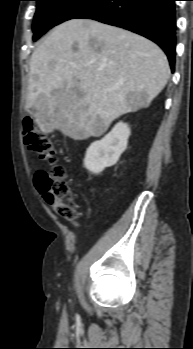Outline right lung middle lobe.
Wrapping results in <instances>:
<instances>
[{
  "instance_id": "1",
  "label": "right lung middle lobe",
  "mask_w": 193,
  "mask_h": 349,
  "mask_svg": "<svg viewBox=\"0 0 193 349\" xmlns=\"http://www.w3.org/2000/svg\"><path fill=\"white\" fill-rule=\"evenodd\" d=\"M33 40L36 41L47 30L64 21L73 19L97 0H35Z\"/></svg>"
}]
</instances>
